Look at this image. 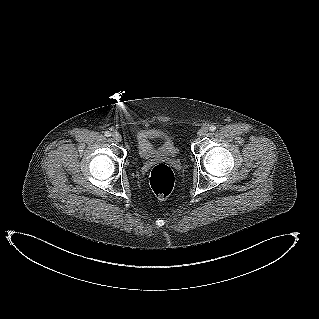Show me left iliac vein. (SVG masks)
<instances>
[{"label":"left iliac vein","instance_id":"4c4485c4","mask_svg":"<svg viewBox=\"0 0 319 319\" xmlns=\"http://www.w3.org/2000/svg\"><path fill=\"white\" fill-rule=\"evenodd\" d=\"M208 133V128L207 127H202L201 129H199L198 131V136L203 137L205 135H207Z\"/></svg>","mask_w":319,"mask_h":319}]
</instances>
